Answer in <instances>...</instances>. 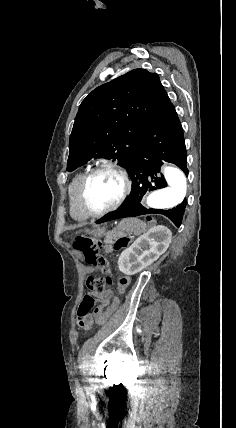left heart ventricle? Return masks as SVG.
Returning a JSON list of instances; mask_svg holds the SVG:
<instances>
[{
	"mask_svg": "<svg viewBox=\"0 0 236 428\" xmlns=\"http://www.w3.org/2000/svg\"><path fill=\"white\" fill-rule=\"evenodd\" d=\"M124 189L121 178L111 172L94 176L88 183L86 199L94 210H102L115 204Z\"/></svg>",
	"mask_w": 236,
	"mask_h": 428,
	"instance_id": "b2bd125f",
	"label": "left heart ventricle"
}]
</instances>
